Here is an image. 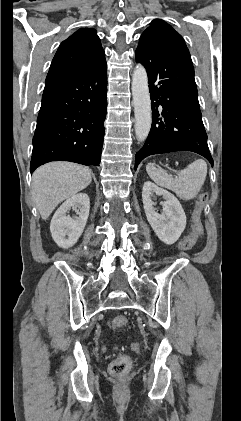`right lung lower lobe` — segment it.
Returning <instances> with one entry per match:
<instances>
[{
  "label": "right lung lower lobe",
  "instance_id": "98d812e1",
  "mask_svg": "<svg viewBox=\"0 0 241 421\" xmlns=\"http://www.w3.org/2000/svg\"><path fill=\"white\" fill-rule=\"evenodd\" d=\"M107 64L46 82L33 137L31 173L51 161L98 166L107 112Z\"/></svg>",
  "mask_w": 241,
  "mask_h": 421
}]
</instances>
